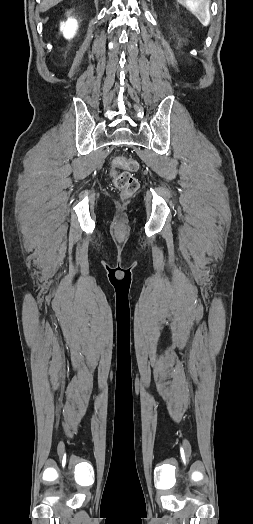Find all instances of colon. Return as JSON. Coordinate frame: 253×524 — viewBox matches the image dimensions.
I'll use <instances>...</instances> for the list:
<instances>
[{"instance_id": "colon-1", "label": "colon", "mask_w": 253, "mask_h": 524, "mask_svg": "<svg viewBox=\"0 0 253 524\" xmlns=\"http://www.w3.org/2000/svg\"><path fill=\"white\" fill-rule=\"evenodd\" d=\"M117 168H124L126 171L118 172ZM138 168L135 160L117 157L113 161L111 177L114 186L121 192L124 197H129L135 193L138 188V181L132 174Z\"/></svg>"}]
</instances>
